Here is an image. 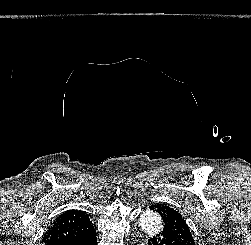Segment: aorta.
I'll return each instance as SVG.
<instances>
[{
	"label": "aorta",
	"instance_id": "762f6f07",
	"mask_svg": "<svg viewBox=\"0 0 251 245\" xmlns=\"http://www.w3.org/2000/svg\"><path fill=\"white\" fill-rule=\"evenodd\" d=\"M141 229L149 236H154L162 229L161 216L153 211L143 213L139 220ZM140 245H145L144 243Z\"/></svg>",
	"mask_w": 251,
	"mask_h": 245
}]
</instances>
